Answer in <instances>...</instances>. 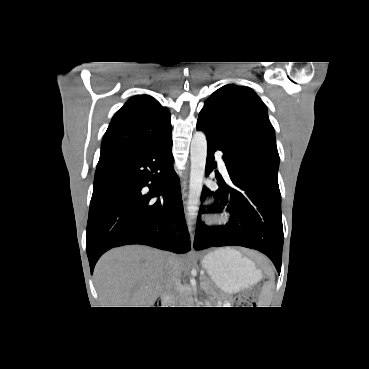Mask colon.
Listing matches in <instances>:
<instances>
[{"instance_id": "colon-1", "label": "colon", "mask_w": 369, "mask_h": 369, "mask_svg": "<svg viewBox=\"0 0 369 369\" xmlns=\"http://www.w3.org/2000/svg\"><path fill=\"white\" fill-rule=\"evenodd\" d=\"M258 297V289L252 288L247 292H244L236 297V304L239 307H252L254 306Z\"/></svg>"}]
</instances>
